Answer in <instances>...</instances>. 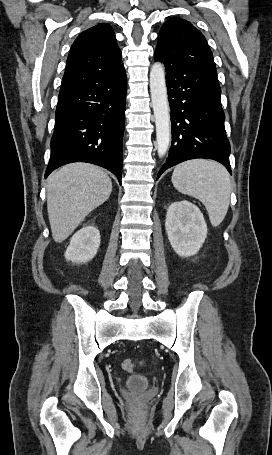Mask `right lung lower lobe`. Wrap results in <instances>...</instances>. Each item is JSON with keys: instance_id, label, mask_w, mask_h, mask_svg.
<instances>
[{"instance_id": "98d812e1", "label": "right lung lower lobe", "mask_w": 272, "mask_h": 455, "mask_svg": "<svg viewBox=\"0 0 272 455\" xmlns=\"http://www.w3.org/2000/svg\"><path fill=\"white\" fill-rule=\"evenodd\" d=\"M126 90L124 73L59 95L45 178L64 164L88 162L121 183Z\"/></svg>"}]
</instances>
